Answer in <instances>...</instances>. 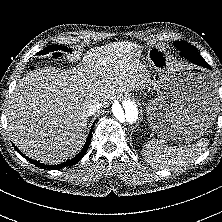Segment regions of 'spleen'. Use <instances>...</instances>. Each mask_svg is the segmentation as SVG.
<instances>
[{"label": "spleen", "mask_w": 222, "mask_h": 222, "mask_svg": "<svg viewBox=\"0 0 222 222\" xmlns=\"http://www.w3.org/2000/svg\"><path fill=\"white\" fill-rule=\"evenodd\" d=\"M208 146L207 139L196 143H185L179 146H169L162 140L149 141L142 150V156L147 163L163 168L185 166L193 163Z\"/></svg>", "instance_id": "obj_1"}]
</instances>
